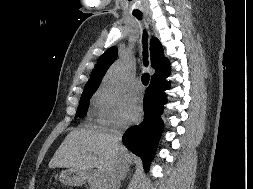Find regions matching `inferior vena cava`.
I'll use <instances>...</instances> for the list:
<instances>
[{"label": "inferior vena cava", "instance_id": "inferior-vena-cava-1", "mask_svg": "<svg viewBox=\"0 0 253 189\" xmlns=\"http://www.w3.org/2000/svg\"><path fill=\"white\" fill-rule=\"evenodd\" d=\"M122 134L123 128L113 131L112 140L115 146H118L120 144ZM129 156L130 151L128 149H120L118 151V153L116 154V159L118 161L114 164L109 173L105 176L102 189H119L121 180L126 175Z\"/></svg>", "mask_w": 253, "mask_h": 189}]
</instances>
